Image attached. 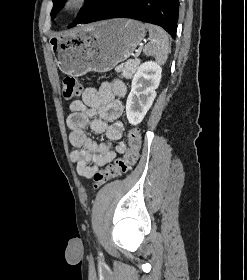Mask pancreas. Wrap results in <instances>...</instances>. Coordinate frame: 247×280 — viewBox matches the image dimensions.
Returning a JSON list of instances; mask_svg holds the SVG:
<instances>
[{
  "label": "pancreas",
  "instance_id": "pancreas-1",
  "mask_svg": "<svg viewBox=\"0 0 247 280\" xmlns=\"http://www.w3.org/2000/svg\"><path fill=\"white\" fill-rule=\"evenodd\" d=\"M139 64H140L139 59L129 60L126 63L116 67V71L122 72V76L125 77L126 79H132Z\"/></svg>",
  "mask_w": 247,
  "mask_h": 280
}]
</instances>
